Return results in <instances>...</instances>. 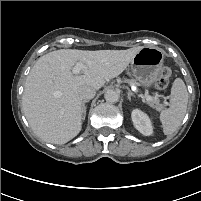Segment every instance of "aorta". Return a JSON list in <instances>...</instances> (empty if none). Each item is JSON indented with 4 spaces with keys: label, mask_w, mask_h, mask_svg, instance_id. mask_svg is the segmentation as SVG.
Instances as JSON below:
<instances>
[{
    "label": "aorta",
    "mask_w": 201,
    "mask_h": 201,
    "mask_svg": "<svg viewBox=\"0 0 201 201\" xmlns=\"http://www.w3.org/2000/svg\"><path fill=\"white\" fill-rule=\"evenodd\" d=\"M104 98L108 103H116L119 101L120 95L117 91L109 89L105 92Z\"/></svg>",
    "instance_id": "1"
}]
</instances>
